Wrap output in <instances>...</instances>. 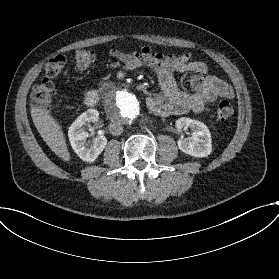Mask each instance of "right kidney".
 Masks as SVG:
<instances>
[{
  "instance_id": "obj_1",
  "label": "right kidney",
  "mask_w": 279,
  "mask_h": 279,
  "mask_svg": "<svg viewBox=\"0 0 279 279\" xmlns=\"http://www.w3.org/2000/svg\"><path fill=\"white\" fill-rule=\"evenodd\" d=\"M98 119V112L89 110L79 116L69 128V140L74 152L83 161L92 163L103 152L107 145V138L104 135H98L94 140L91 148L86 147V140L89 134L85 131L84 126Z\"/></svg>"
}]
</instances>
